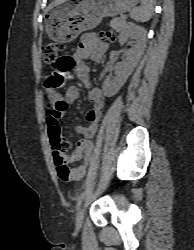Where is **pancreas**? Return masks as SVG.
Returning a JSON list of instances; mask_svg holds the SVG:
<instances>
[{
    "label": "pancreas",
    "instance_id": "cf45deb5",
    "mask_svg": "<svg viewBox=\"0 0 194 250\" xmlns=\"http://www.w3.org/2000/svg\"><path fill=\"white\" fill-rule=\"evenodd\" d=\"M110 26L113 30L121 31L125 26V21L122 18H114L110 21Z\"/></svg>",
    "mask_w": 194,
    "mask_h": 250
}]
</instances>
